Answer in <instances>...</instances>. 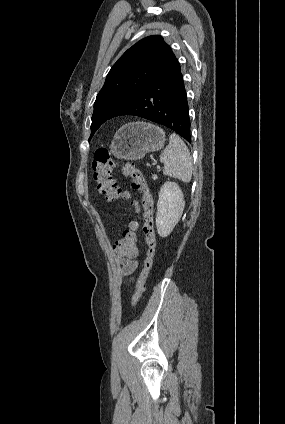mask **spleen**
Returning <instances> with one entry per match:
<instances>
[{
  "label": "spleen",
  "mask_w": 285,
  "mask_h": 424,
  "mask_svg": "<svg viewBox=\"0 0 285 424\" xmlns=\"http://www.w3.org/2000/svg\"><path fill=\"white\" fill-rule=\"evenodd\" d=\"M164 163L163 173L188 183L192 177V158L183 140L175 133L169 137V145L160 155Z\"/></svg>",
  "instance_id": "3e777b00"
}]
</instances>
